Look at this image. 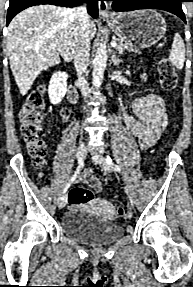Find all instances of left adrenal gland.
<instances>
[{"instance_id":"a2214340","label":"left adrenal gland","mask_w":193,"mask_h":287,"mask_svg":"<svg viewBox=\"0 0 193 287\" xmlns=\"http://www.w3.org/2000/svg\"><path fill=\"white\" fill-rule=\"evenodd\" d=\"M122 60L116 56V52L112 51V57H111V62L113 63L114 66H118Z\"/></svg>"}]
</instances>
